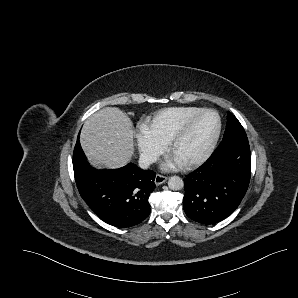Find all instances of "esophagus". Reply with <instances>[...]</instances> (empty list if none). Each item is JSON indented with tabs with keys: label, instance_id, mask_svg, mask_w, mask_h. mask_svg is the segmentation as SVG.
Instances as JSON below:
<instances>
[{
	"label": "esophagus",
	"instance_id": "esophagus-1",
	"mask_svg": "<svg viewBox=\"0 0 298 298\" xmlns=\"http://www.w3.org/2000/svg\"><path fill=\"white\" fill-rule=\"evenodd\" d=\"M166 180H167V177H166V176L157 174L156 177H155V184H156V185H161V184H163Z\"/></svg>",
	"mask_w": 298,
	"mask_h": 298
}]
</instances>
